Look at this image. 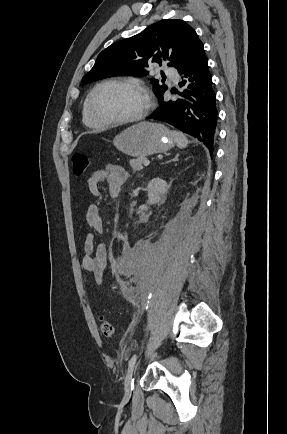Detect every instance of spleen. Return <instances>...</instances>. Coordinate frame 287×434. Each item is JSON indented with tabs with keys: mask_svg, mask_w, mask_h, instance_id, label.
<instances>
[{
	"mask_svg": "<svg viewBox=\"0 0 287 434\" xmlns=\"http://www.w3.org/2000/svg\"><path fill=\"white\" fill-rule=\"evenodd\" d=\"M170 133L173 136L177 146L180 149L187 147V145L189 144V141L183 133H181L179 131H170Z\"/></svg>",
	"mask_w": 287,
	"mask_h": 434,
	"instance_id": "obj_1",
	"label": "spleen"
}]
</instances>
